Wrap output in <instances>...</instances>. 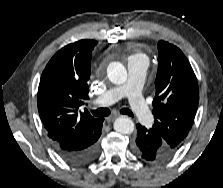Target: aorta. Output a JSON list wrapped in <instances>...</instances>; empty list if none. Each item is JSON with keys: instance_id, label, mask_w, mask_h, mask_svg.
<instances>
[{"instance_id": "obj_1", "label": "aorta", "mask_w": 223, "mask_h": 188, "mask_svg": "<svg viewBox=\"0 0 223 188\" xmlns=\"http://www.w3.org/2000/svg\"><path fill=\"white\" fill-rule=\"evenodd\" d=\"M107 75L113 84H123L127 80V70L120 62H111L107 68ZM114 130L120 134H130L134 131V122L125 116L117 118L114 122Z\"/></svg>"}]
</instances>
